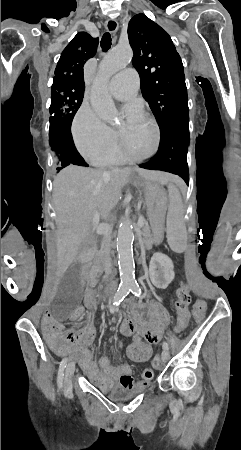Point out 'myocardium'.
<instances>
[{
  "label": "myocardium",
  "mask_w": 241,
  "mask_h": 450,
  "mask_svg": "<svg viewBox=\"0 0 241 450\" xmlns=\"http://www.w3.org/2000/svg\"><path fill=\"white\" fill-rule=\"evenodd\" d=\"M152 127H157V122H152ZM161 132H160V130H154V140H152V145H155L154 147L155 148H152V150H151V152L149 153V157H154V153H156V149L158 150V149H160V144H158L157 142H159V137H160V134ZM120 135V134H119ZM118 141H119V149H121V150H123V149H125V144H124V141H125V138L123 137V136H120L119 138H118ZM125 151V150H124ZM119 157H121V158H123V157H126V158H131V157H129L128 156V153H126L125 154V152H123V151H121V152H119ZM135 162H145V160H135Z\"/></svg>",
  "instance_id": "obj_1"
}]
</instances>
